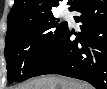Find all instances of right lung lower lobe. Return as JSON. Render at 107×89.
<instances>
[{
    "mask_svg": "<svg viewBox=\"0 0 107 89\" xmlns=\"http://www.w3.org/2000/svg\"><path fill=\"white\" fill-rule=\"evenodd\" d=\"M70 11L80 22L78 39L68 27L59 43L33 76L60 74L81 79L96 89H107V1L76 0Z\"/></svg>",
    "mask_w": 107,
    "mask_h": 89,
    "instance_id": "98d812e1",
    "label": "right lung lower lobe"
}]
</instances>
